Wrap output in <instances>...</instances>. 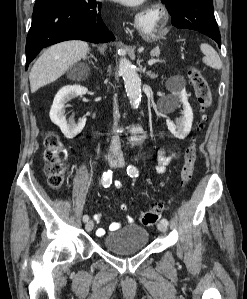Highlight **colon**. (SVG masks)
I'll use <instances>...</instances> for the list:
<instances>
[{
	"label": "colon",
	"instance_id": "1",
	"mask_svg": "<svg viewBox=\"0 0 247 299\" xmlns=\"http://www.w3.org/2000/svg\"><path fill=\"white\" fill-rule=\"evenodd\" d=\"M188 77L194 88L195 96L199 104L200 120L196 129L200 130L207 119V111L212 103L211 90L207 81L197 68L190 67L188 69ZM44 146L45 173L50 186L58 189L62 187L65 182V167L63 163L66 159L67 152L58 136L53 133H49L45 137ZM196 157L197 148L196 142L193 139L184 152V164L180 171L181 187L187 186L190 182L194 172ZM164 205V202L159 201L154 203L149 210L141 212L139 215L140 222L146 226L154 225L159 220Z\"/></svg>",
	"mask_w": 247,
	"mask_h": 299
}]
</instances>
